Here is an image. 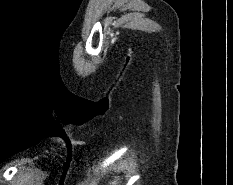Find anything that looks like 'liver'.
I'll list each match as a JSON object with an SVG mask.
<instances>
[{
  "label": "liver",
  "instance_id": "obj_1",
  "mask_svg": "<svg viewBox=\"0 0 233 185\" xmlns=\"http://www.w3.org/2000/svg\"><path fill=\"white\" fill-rule=\"evenodd\" d=\"M118 180H119V178H115V180L110 182L109 185H119Z\"/></svg>",
  "mask_w": 233,
  "mask_h": 185
}]
</instances>
